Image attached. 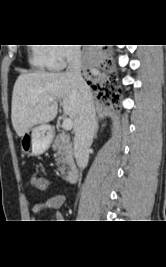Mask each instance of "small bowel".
I'll return each instance as SVG.
<instances>
[{"mask_svg":"<svg viewBox=\"0 0 166 267\" xmlns=\"http://www.w3.org/2000/svg\"><path fill=\"white\" fill-rule=\"evenodd\" d=\"M65 201L66 197L64 195H53L45 201L36 203L33 207V213L40 214L47 210H53L55 212V218L58 221H61L63 219V215L59 210L64 205Z\"/></svg>","mask_w":166,"mask_h":267,"instance_id":"1","label":"small bowel"}]
</instances>
